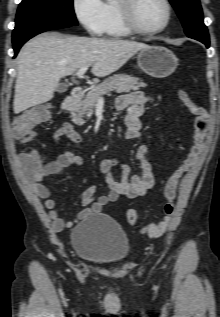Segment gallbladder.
<instances>
[{
  "label": "gallbladder",
  "instance_id": "1",
  "mask_svg": "<svg viewBox=\"0 0 220 317\" xmlns=\"http://www.w3.org/2000/svg\"><path fill=\"white\" fill-rule=\"evenodd\" d=\"M67 89H68V85L66 83H61L57 87L56 91L59 92V93H63V92H66Z\"/></svg>",
  "mask_w": 220,
  "mask_h": 317
}]
</instances>
